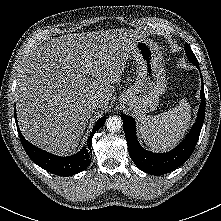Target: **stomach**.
<instances>
[{
	"instance_id": "0dacf381",
	"label": "stomach",
	"mask_w": 221,
	"mask_h": 221,
	"mask_svg": "<svg viewBox=\"0 0 221 221\" xmlns=\"http://www.w3.org/2000/svg\"><path fill=\"white\" fill-rule=\"evenodd\" d=\"M132 55L139 66L137 78L134 85L120 95L119 102L131 113L142 116L158 107L160 96L166 91V75L160 48L152 40L139 39Z\"/></svg>"
}]
</instances>
